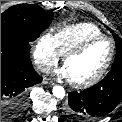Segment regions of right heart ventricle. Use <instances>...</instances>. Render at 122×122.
Segmentation results:
<instances>
[{
    "label": "right heart ventricle",
    "instance_id": "e07e8e85",
    "mask_svg": "<svg viewBox=\"0 0 122 122\" xmlns=\"http://www.w3.org/2000/svg\"><path fill=\"white\" fill-rule=\"evenodd\" d=\"M102 35V31L96 25L82 22L63 26L57 29L52 37L58 52L63 55L81 42Z\"/></svg>",
    "mask_w": 122,
    "mask_h": 122
}]
</instances>
